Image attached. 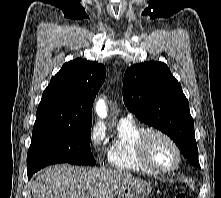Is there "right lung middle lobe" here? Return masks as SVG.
<instances>
[{
	"label": "right lung middle lobe",
	"instance_id": "right-lung-middle-lobe-1",
	"mask_svg": "<svg viewBox=\"0 0 221 198\" xmlns=\"http://www.w3.org/2000/svg\"><path fill=\"white\" fill-rule=\"evenodd\" d=\"M91 126H34L27 154L28 175L55 163L95 165L90 149Z\"/></svg>",
	"mask_w": 221,
	"mask_h": 198
}]
</instances>
